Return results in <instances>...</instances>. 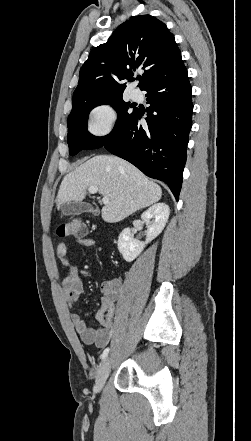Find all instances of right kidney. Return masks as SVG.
Returning a JSON list of instances; mask_svg holds the SVG:
<instances>
[{
  "instance_id": "1",
  "label": "right kidney",
  "mask_w": 251,
  "mask_h": 441,
  "mask_svg": "<svg viewBox=\"0 0 251 441\" xmlns=\"http://www.w3.org/2000/svg\"><path fill=\"white\" fill-rule=\"evenodd\" d=\"M169 214L170 208L165 203L154 204L143 212L141 219L147 226L145 242L134 239L130 228H125L121 232L117 246L125 261H133L143 251L145 246L162 232L168 221Z\"/></svg>"
}]
</instances>
